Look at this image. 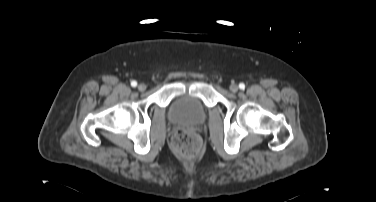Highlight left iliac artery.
Here are the masks:
<instances>
[{"instance_id":"44dca946","label":"left iliac artery","mask_w":376,"mask_h":202,"mask_svg":"<svg viewBox=\"0 0 376 202\" xmlns=\"http://www.w3.org/2000/svg\"><path fill=\"white\" fill-rule=\"evenodd\" d=\"M239 88H240L241 90H244V89H245V84H244V83H240V84H239Z\"/></svg>"}]
</instances>
